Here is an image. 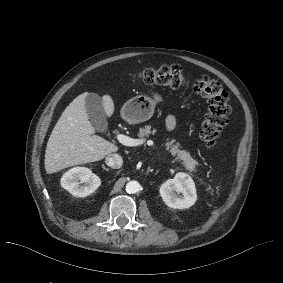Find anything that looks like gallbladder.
Masks as SVG:
<instances>
[{"instance_id": "1", "label": "gallbladder", "mask_w": 283, "mask_h": 283, "mask_svg": "<svg viewBox=\"0 0 283 283\" xmlns=\"http://www.w3.org/2000/svg\"><path fill=\"white\" fill-rule=\"evenodd\" d=\"M87 117L90 119L95 131L99 134H106L109 126L105 114L103 99L96 93H87L85 99Z\"/></svg>"}]
</instances>
